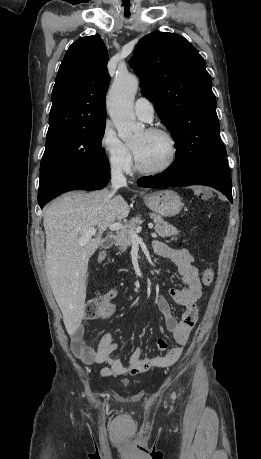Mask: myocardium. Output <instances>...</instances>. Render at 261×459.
I'll return each instance as SVG.
<instances>
[{
    "label": "myocardium",
    "mask_w": 261,
    "mask_h": 459,
    "mask_svg": "<svg viewBox=\"0 0 261 459\" xmlns=\"http://www.w3.org/2000/svg\"><path fill=\"white\" fill-rule=\"evenodd\" d=\"M145 131L147 133H149V134L163 136L168 141L169 149H170L169 157H168L167 161L164 164H162L161 166H159V167L144 168L139 164V162H138V160H137V158H136V156H135V154L133 152L134 161H135V168H136L137 172H139L142 175H157V174H161V173L167 171L168 169H170L173 166V164L175 163V161H176V157H177L176 140H175V138L173 137V135L169 131L161 129V128L152 127V128L146 129Z\"/></svg>",
    "instance_id": "myocardium-1"
}]
</instances>
